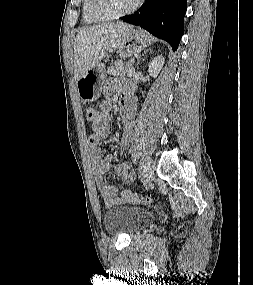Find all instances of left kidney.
I'll return each instance as SVG.
<instances>
[{"instance_id":"obj_1","label":"left kidney","mask_w":253,"mask_h":285,"mask_svg":"<svg viewBox=\"0 0 253 285\" xmlns=\"http://www.w3.org/2000/svg\"><path fill=\"white\" fill-rule=\"evenodd\" d=\"M163 65H164L163 56L159 55L155 57L149 65L148 71H149L150 76L157 77Z\"/></svg>"}]
</instances>
